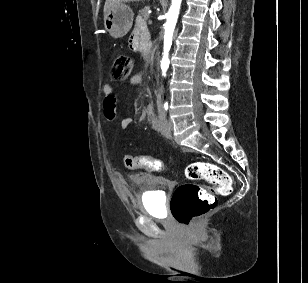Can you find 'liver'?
<instances>
[{
  "label": "liver",
  "mask_w": 308,
  "mask_h": 283,
  "mask_svg": "<svg viewBox=\"0 0 308 283\" xmlns=\"http://www.w3.org/2000/svg\"><path fill=\"white\" fill-rule=\"evenodd\" d=\"M140 0H106L104 5V15L115 5L121 4L123 2H137Z\"/></svg>",
  "instance_id": "liver-1"
}]
</instances>
